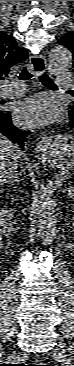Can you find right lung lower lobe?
<instances>
[{
	"label": "right lung lower lobe",
	"instance_id": "right-lung-lower-lobe-1",
	"mask_svg": "<svg viewBox=\"0 0 74 366\" xmlns=\"http://www.w3.org/2000/svg\"><path fill=\"white\" fill-rule=\"evenodd\" d=\"M30 131H23L16 128L11 121L10 113L0 111V135L6 136L12 142H16L21 148L24 146L26 137Z\"/></svg>",
	"mask_w": 74,
	"mask_h": 366
}]
</instances>
